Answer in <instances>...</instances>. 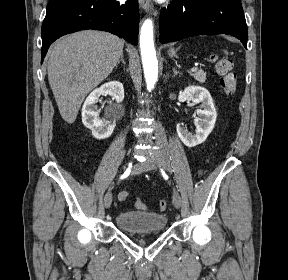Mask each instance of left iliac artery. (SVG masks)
<instances>
[{
    "label": "left iliac artery",
    "instance_id": "1",
    "mask_svg": "<svg viewBox=\"0 0 288 280\" xmlns=\"http://www.w3.org/2000/svg\"><path fill=\"white\" fill-rule=\"evenodd\" d=\"M161 173H162V179L164 181H167L168 186L171 187V191L174 192L175 196H178L179 195L178 184L174 183V179H169V174H165V172L162 169Z\"/></svg>",
    "mask_w": 288,
    "mask_h": 280
}]
</instances>
